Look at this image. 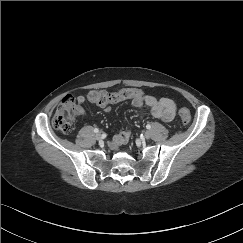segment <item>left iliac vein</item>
<instances>
[{"mask_svg":"<svg viewBox=\"0 0 243 243\" xmlns=\"http://www.w3.org/2000/svg\"><path fill=\"white\" fill-rule=\"evenodd\" d=\"M144 137H145L146 139H149V138L151 137L150 132H149V131L144 132Z\"/></svg>","mask_w":243,"mask_h":243,"instance_id":"4c4485c4","label":"left iliac vein"}]
</instances>
